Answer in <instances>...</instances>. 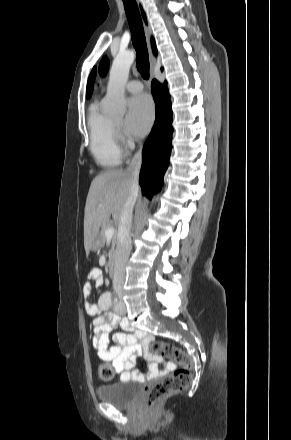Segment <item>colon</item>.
I'll return each mask as SVG.
<instances>
[{
	"label": "colon",
	"instance_id": "obj_1",
	"mask_svg": "<svg viewBox=\"0 0 291 440\" xmlns=\"http://www.w3.org/2000/svg\"><path fill=\"white\" fill-rule=\"evenodd\" d=\"M148 354L152 357L172 359L179 365V369L148 389L145 403L153 408L158 406L164 398L184 390L192 382L193 364L188 354L162 341H152L148 345ZM96 375L100 381L108 382L112 380L114 370L109 363H104L98 366Z\"/></svg>",
	"mask_w": 291,
	"mask_h": 440
}]
</instances>
